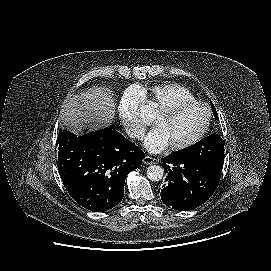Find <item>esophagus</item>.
I'll return each mask as SVG.
<instances>
[{"instance_id": "34e87169", "label": "esophagus", "mask_w": 271, "mask_h": 271, "mask_svg": "<svg viewBox=\"0 0 271 271\" xmlns=\"http://www.w3.org/2000/svg\"><path fill=\"white\" fill-rule=\"evenodd\" d=\"M159 160L157 158H153L150 156H145L143 159V163L146 165H152V164H157Z\"/></svg>"}]
</instances>
